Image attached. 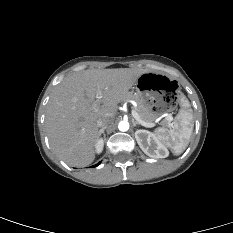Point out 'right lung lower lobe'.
<instances>
[{
  "instance_id": "1",
  "label": "right lung lower lobe",
  "mask_w": 233,
  "mask_h": 233,
  "mask_svg": "<svg viewBox=\"0 0 233 233\" xmlns=\"http://www.w3.org/2000/svg\"><path fill=\"white\" fill-rule=\"evenodd\" d=\"M100 163H101V162H99V163L95 164V165H94V166H92V167H96V166H98Z\"/></svg>"
}]
</instances>
